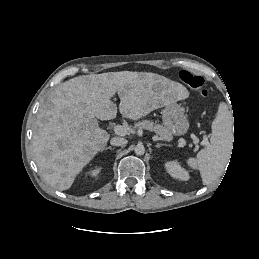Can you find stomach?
<instances>
[{
    "label": "stomach",
    "instance_id": "stomach-1",
    "mask_svg": "<svg viewBox=\"0 0 259 259\" xmlns=\"http://www.w3.org/2000/svg\"><path fill=\"white\" fill-rule=\"evenodd\" d=\"M162 120L166 129L175 136H182L189 129V121L184 109L176 102L166 106L162 112Z\"/></svg>",
    "mask_w": 259,
    "mask_h": 259
}]
</instances>
